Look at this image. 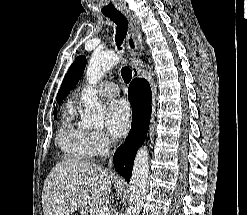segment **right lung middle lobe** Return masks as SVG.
<instances>
[{"label":"right lung middle lobe","mask_w":247,"mask_h":215,"mask_svg":"<svg viewBox=\"0 0 247 215\" xmlns=\"http://www.w3.org/2000/svg\"><path fill=\"white\" fill-rule=\"evenodd\" d=\"M54 118H56V114H54Z\"/></svg>","instance_id":"dd1d6c3e"}]
</instances>
